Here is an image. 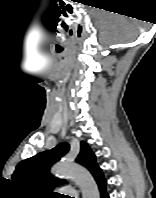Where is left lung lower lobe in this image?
I'll list each match as a JSON object with an SVG mask.
<instances>
[{"mask_svg": "<svg viewBox=\"0 0 156 198\" xmlns=\"http://www.w3.org/2000/svg\"><path fill=\"white\" fill-rule=\"evenodd\" d=\"M96 183L98 184L99 190H100V194H101V198H109V195L106 192V179L103 175V172L100 171L96 177H95Z\"/></svg>", "mask_w": 156, "mask_h": 198, "instance_id": "0a47b994", "label": "left lung lower lobe"}]
</instances>
